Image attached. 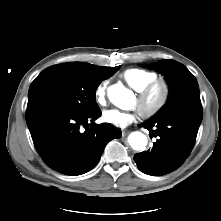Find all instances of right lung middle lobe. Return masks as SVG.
Listing matches in <instances>:
<instances>
[{"label": "right lung middle lobe", "instance_id": "obj_1", "mask_svg": "<svg viewBox=\"0 0 221 221\" xmlns=\"http://www.w3.org/2000/svg\"><path fill=\"white\" fill-rule=\"evenodd\" d=\"M120 66L111 67L101 75H92L68 64L54 65L43 70L32 82L27 108L57 107L78 113L98 110L95 91Z\"/></svg>", "mask_w": 221, "mask_h": 221}]
</instances>
